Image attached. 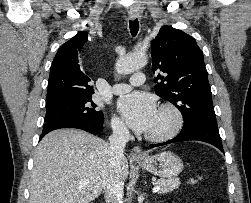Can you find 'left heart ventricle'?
Segmentation results:
<instances>
[{"mask_svg":"<svg viewBox=\"0 0 251 203\" xmlns=\"http://www.w3.org/2000/svg\"><path fill=\"white\" fill-rule=\"evenodd\" d=\"M172 119L168 113L157 112L155 122L149 133H159L167 130L171 125Z\"/></svg>","mask_w":251,"mask_h":203,"instance_id":"left-heart-ventricle-1","label":"left heart ventricle"}]
</instances>
